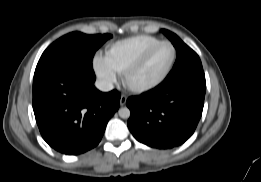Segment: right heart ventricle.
Returning a JSON list of instances; mask_svg holds the SVG:
<instances>
[{"instance_id":"right-heart-ventricle-1","label":"right heart ventricle","mask_w":261,"mask_h":182,"mask_svg":"<svg viewBox=\"0 0 261 182\" xmlns=\"http://www.w3.org/2000/svg\"><path fill=\"white\" fill-rule=\"evenodd\" d=\"M161 40L147 35H139L111 44L106 57L117 73H124L146 50Z\"/></svg>"}]
</instances>
